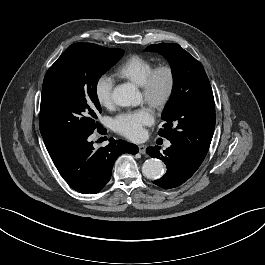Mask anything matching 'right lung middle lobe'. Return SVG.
<instances>
[{"instance_id": "dd1d6c3e", "label": "right lung middle lobe", "mask_w": 265, "mask_h": 265, "mask_svg": "<svg viewBox=\"0 0 265 265\" xmlns=\"http://www.w3.org/2000/svg\"><path fill=\"white\" fill-rule=\"evenodd\" d=\"M123 54V49L76 43L49 68L43 82L39 122L48 151L90 135L98 127L101 107L97 82Z\"/></svg>"}]
</instances>
